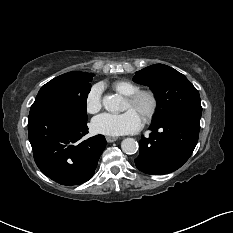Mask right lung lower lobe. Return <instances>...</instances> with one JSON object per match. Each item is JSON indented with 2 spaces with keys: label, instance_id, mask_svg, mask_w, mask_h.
Returning <instances> with one entry per match:
<instances>
[{
  "label": "right lung lower lobe",
  "instance_id": "right-lung-lower-lobe-1",
  "mask_svg": "<svg viewBox=\"0 0 233 233\" xmlns=\"http://www.w3.org/2000/svg\"><path fill=\"white\" fill-rule=\"evenodd\" d=\"M28 132L38 168L61 185L88 181L106 147L103 135L84 140L87 121L67 113H39L28 119Z\"/></svg>",
  "mask_w": 233,
  "mask_h": 233
}]
</instances>
